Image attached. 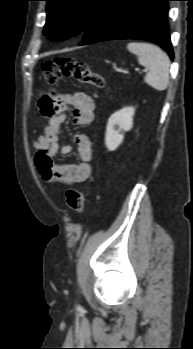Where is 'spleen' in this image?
Instances as JSON below:
<instances>
[{"label":"spleen","instance_id":"3e777b00","mask_svg":"<svg viewBox=\"0 0 193 349\" xmlns=\"http://www.w3.org/2000/svg\"><path fill=\"white\" fill-rule=\"evenodd\" d=\"M128 50L137 55L140 65L148 68L144 81L152 88L163 91L169 83L170 59L156 45L144 42H130Z\"/></svg>","mask_w":193,"mask_h":349}]
</instances>
